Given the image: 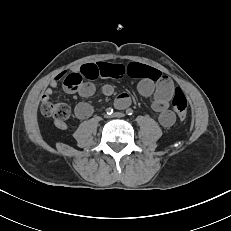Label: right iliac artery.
<instances>
[{"label":"right iliac artery","instance_id":"82829eb1","mask_svg":"<svg viewBox=\"0 0 231 231\" xmlns=\"http://www.w3.org/2000/svg\"><path fill=\"white\" fill-rule=\"evenodd\" d=\"M106 113H107L108 115H111V114L113 113V109H112V108H107V109H106Z\"/></svg>","mask_w":231,"mask_h":231}]
</instances>
